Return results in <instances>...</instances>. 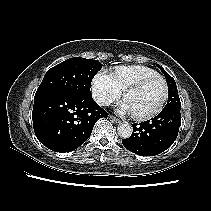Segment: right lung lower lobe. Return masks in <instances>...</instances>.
Returning a JSON list of instances; mask_svg holds the SVG:
<instances>
[{
	"label": "right lung lower lobe",
	"mask_w": 211,
	"mask_h": 211,
	"mask_svg": "<svg viewBox=\"0 0 211 211\" xmlns=\"http://www.w3.org/2000/svg\"><path fill=\"white\" fill-rule=\"evenodd\" d=\"M107 116L89 94L56 91L34 97V132L55 152L78 148L89 138L96 121Z\"/></svg>",
	"instance_id": "98d812e1"
}]
</instances>
